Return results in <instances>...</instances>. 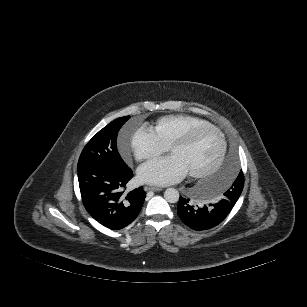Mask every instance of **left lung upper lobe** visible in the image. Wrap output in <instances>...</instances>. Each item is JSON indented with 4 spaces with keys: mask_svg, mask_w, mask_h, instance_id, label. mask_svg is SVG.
<instances>
[{
    "mask_svg": "<svg viewBox=\"0 0 307 307\" xmlns=\"http://www.w3.org/2000/svg\"><path fill=\"white\" fill-rule=\"evenodd\" d=\"M243 186H244V175L241 170L236 180L232 184V186L226 191V194L238 200L243 190Z\"/></svg>",
    "mask_w": 307,
    "mask_h": 307,
    "instance_id": "left-lung-upper-lobe-1",
    "label": "left lung upper lobe"
}]
</instances>
